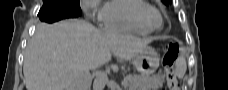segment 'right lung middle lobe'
<instances>
[{"label":"right lung middle lobe","instance_id":"1","mask_svg":"<svg viewBox=\"0 0 228 90\" xmlns=\"http://www.w3.org/2000/svg\"><path fill=\"white\" fill-rule=\"evenodd\" d=\"M80 0H43V4L54 5L58 10L71 18L80 16Z\"/></svg>","mask_w":228,"mask_h":90}]
</instances>
